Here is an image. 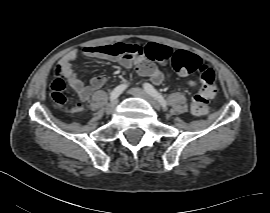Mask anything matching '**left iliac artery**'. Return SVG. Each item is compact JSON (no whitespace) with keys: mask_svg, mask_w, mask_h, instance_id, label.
<instances>
[{"mask_svg":"<svg viewBox=\"0 0 270 213\" xmlns=\"http://www.w3.org/2000/svg\"><path fill=\"white\" fill-rule=\"evenodd\" d=\"M143 87L148 94L154 97L162 105L163 108H167V101L165 100L164 96L160 94L151 84L144 83Z\"/></svg>","mask_w":270,"mask_h":213,"instance_id":"left-iliac-artery-1","label":"left iliac artery"}]
</instances>
